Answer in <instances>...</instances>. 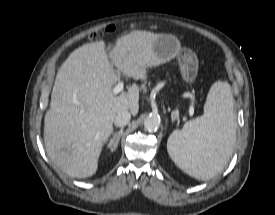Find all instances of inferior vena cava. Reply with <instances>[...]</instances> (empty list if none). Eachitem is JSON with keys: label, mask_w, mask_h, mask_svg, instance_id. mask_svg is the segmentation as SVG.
<instances>
[{"label": "inferior vena cava", "mask_w": 275, "mask_h": 215, "mask_svg": "<svg viewBox=\"0 0 275 215\" xmlns=\"http://www.w3.org/2000/svg\"><path fill=\"white\" fill-rule=\"evenodd\" d=\"M131 119V114L127 111H121L114 117V124L117 127H124L126 126Z\"/></svg>", "instance_id": "obj_1"}]
</instances>
